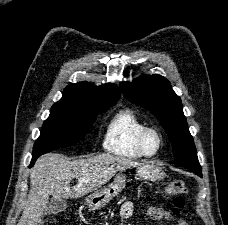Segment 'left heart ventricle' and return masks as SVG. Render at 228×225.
Segmentation results:
<instances>
[{"mask_svg":"<svg viewBox=\"0 0 228 225\" xmlns=\"http://www.w3.org/2000/svg\"><path fill=\"white\" fill-rule=\"evenodd\" d=\"M156 146H157L156 137L154 135H152L148 142V148L150 151H154L156 149Z\"/></svg>","mask_w":228,"mask_h":225,"instance_id":"1","label":"left heart ventricle"}]
</instances>
